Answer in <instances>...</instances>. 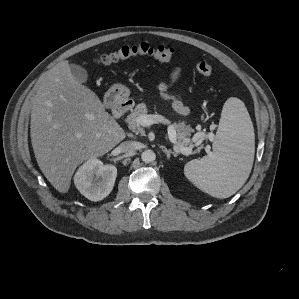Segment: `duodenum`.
<instances>
[{
    "label": "duodenum",
    "instance_id": "obj_1",
    "mask_svg": "<svg viewBox=\"0 0 299 299\" xmlns=\"http://www.w3.org/2000/svg\"><path fill=\"white\" fill-rule=\"evenodd\" d=\"M131 107L127 99L116 101L112 104V112L114 117L119 118Z\"/></svg>",
    "mask_w": 299,
    "mask_h": 299
}]
</instances>
